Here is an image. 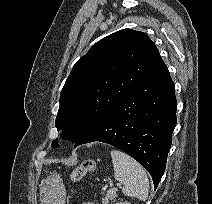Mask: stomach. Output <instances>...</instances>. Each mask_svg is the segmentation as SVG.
Segmentation results:
<instances>
[{"label": "stomach", "instance_id": "0dacf381", "mask_svg": "<svg viewBox=\"0 0 212 204\" xmlns=\"http://www.w3.org/2000/svg\"><path fill=\"white\" fill-rule=\"evenodd\" d=\"M66 191L62 179L57 175L48 176L41 185V204H65Z\"/></svg>", "mask_w": 212, "mask_h": 204}]
</instances>
